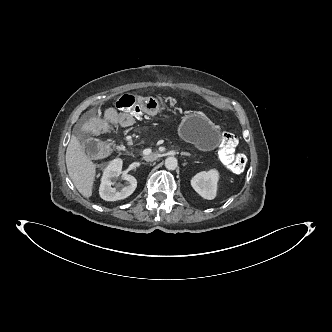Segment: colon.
<instances>
[{
	"instance_id": "obj_1",
	"label": "colon",
	"mask_w": 332,
	"mask_h": 332,
	"mask_svg": "<svg viewBox=\"0 0 332 332\" xmlns=\"http://www.w3.org/2000/svg\"><path fill=\"white\" fill-rule=\"evenodd\" d=\"M114 107L121 111L126 112L131 118H137L141 124H146L152 121L153 114L142 110L138 106V99L134 96L126 94L118 98ZM238 140L232 133L224 132L220 137V159L224 166L232 173H240L243 171L246 158L243 154L236 152ZM86 153L91 157H102L107 155L108 146L104 143L89 140L84 144Z\"/></svg>"
}]
</instances>
